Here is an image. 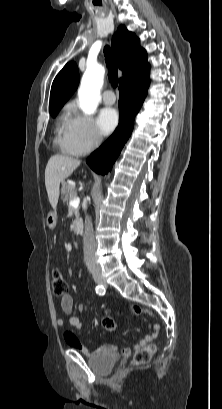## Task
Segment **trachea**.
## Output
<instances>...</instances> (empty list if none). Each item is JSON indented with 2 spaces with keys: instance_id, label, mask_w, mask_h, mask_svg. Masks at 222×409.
<instances>
[{
  "instance_id": "obj_1",
  "label": "trachea",
  "mask_w": 222,
  "mask_h": 409,
  "mask_svg": "<svg viewBox=\"0 0 222 409\" xmlns=\"http://www.w3.org/2000/svg\"><path fill=\"white\" fill-rule=\"evenodd\" d=\"M104 56L108 68L109 80L111 85L116 88L118 86V66L116 58L108 45L104 47Z\"/></svg>"
}]
</instances>
